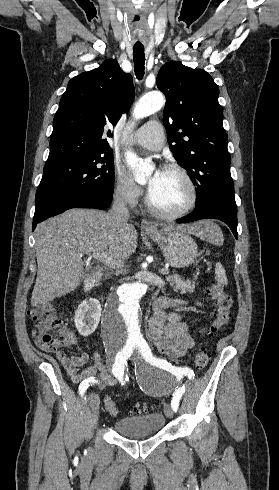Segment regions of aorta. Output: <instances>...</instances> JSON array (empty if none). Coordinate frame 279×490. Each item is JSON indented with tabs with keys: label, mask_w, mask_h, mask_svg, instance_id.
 <instances>
[{
	"label": "aorta",
	"mask_w": 279,
	"mask_h": 490,
	"mask_svg": "<svg viewBox=\"0 0 279 490\" xmlns=\"http://www.w3.org/2000/svg\"><path fill=\"white\" fill-rule=\"evenodd\" d=\"M165 104L160 92H151L143 96L134 108L136 119L147 117ZM127 164L135 172V180L140 183L153 170L147 160L139 159L134 153L126 154ZM148 286L141 282L123 284L110 295L105 305L102 334L106 345L111 349L129 350L145 342L141 329L140 299Z\"/></svg>",
	"instance_id": "1"
}]
</instances>
